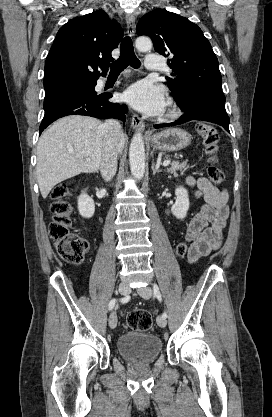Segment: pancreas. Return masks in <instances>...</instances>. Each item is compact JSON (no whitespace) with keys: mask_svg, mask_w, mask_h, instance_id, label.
I'll list each match as a JSON object with an SVG mask.
<instances>
[{"mask_svg":"<svg viewBox=\"0 0 272 417\" xmlns=\"http://www.w3.org/2000/svg\"><path fill=\"white\" fill-rule=\"evenodd\" d=\"M186 168H187L186 162H182V163L172 162L171 166L167 170L168 172L175 174L176 171L178 170L183 171V170H186Z\"/></svg>","mask_w":272,"mask_h":417,"instance_id":"1","label":"pancreas"}]
</instances>
